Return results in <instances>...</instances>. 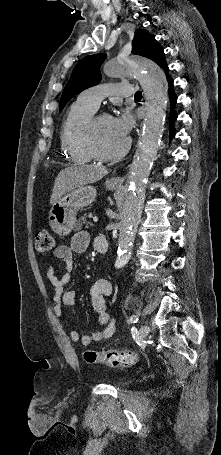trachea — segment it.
<instances>
[{
    "instance_id": "obj_1",
    "label": "trachea",
    "mask_w": 221,
    "mask_h": 455,
    "mask_svg": "<svg viewBox=\"0 0 221 455\" xmlns=\"http://www.w3.org/2000/svg\"><path fill=\"white\" fill-rule=\"evenodd\" d=\"M140 97H142L141 92L140 91L136 92L135 93V98H140Z\"/></svg>"
}]
</instances>
